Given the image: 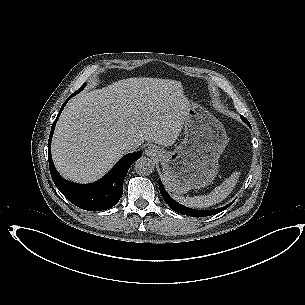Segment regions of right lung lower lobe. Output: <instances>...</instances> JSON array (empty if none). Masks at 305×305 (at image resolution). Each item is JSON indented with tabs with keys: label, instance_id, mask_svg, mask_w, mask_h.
Segmentation results:
<instances>
[{
	"label": "right lung lower lobe",
	"instance_id": "right-lung-lower-lobe-1",
	"mask_svg": "<svg viewBox=\"0 0 305 305\" xmlns=\"http://www.w3.org/2000/svg\"><path fill=\"white\" fill-rule=\"evenodd\" d=\"M72 95L69 98L73 97ZM67 100L62 105L53 123L48 141V158L52 179L61 193L77 207L89 211L106 210L119 201L123 194V181L126 174L130 166L141 157V152L138 151L123 156L103 178L94 183L82 185L64 180L57 172L52 161L51 140L56 122Z\"/></svg>",
	"mask_w": 305,
	"mask_h": 305
}]
</instances>
